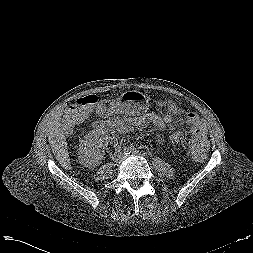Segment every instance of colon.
<instances>
[{"mask_svg": "<svg viewBox=\"0 0 253 253\" xmlns=\"http://www.w3.org/2000/svg\"><path fill=\"white\" fill-rule=\"evenodd\" d=\"M98 99L94 95L84 96L70 104L63 115V122L69 129H73L77 124L85 120L92 112ZM191 125L192 140L189 144V150L192 157L196 160H202L209 149L207 138V129L203 119L195 114L188 117Z\"/></svg>", "mask_w": 253, "mask_h": 253, "instance_id": "1", "label": "colon"}]
</instances>
